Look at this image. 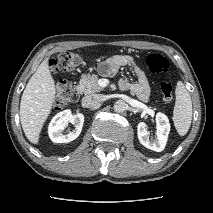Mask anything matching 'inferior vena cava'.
<instances>
[{"instance_id": "inferior-vena-cava-1", "label": "inferior vena cava", "mask_w": 213, "mask_h": 213, "mask_svg": "<svg viewBox=\"0 0 213 213\" xmlns=\"http://www.w3.org/2000/svg\"><path fill=\"white\" fill-rule=\"evenodd\" d=\"M106 100V96L102 94H93L83 97L82 105L86 108L95 107Z\"/></svg>"}]
</instances>
